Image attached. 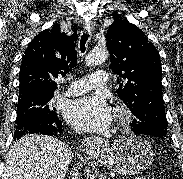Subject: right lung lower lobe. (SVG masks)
Here are the masks:
<instances>
[{
  "mask_svg": "<svg viewBox=\"0 0 183 179\" xmlns=\"http://www.w3.org/2000/svg\"><path fill=\"white\" fill-rule=\"evenodd\" d=\"M62 130L61 120H57L50 124H36L22 128L17 133H14V140L21 138L26 134H44L49 136H57Z\"/></svg>",
  "mask_w": 183,
  "mask_h": 179,
  "instance_id": "right-lung-lower-lobe-1",
  "label": "right lung lower lobe"
}]
</instances>
